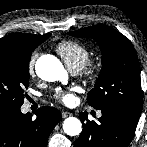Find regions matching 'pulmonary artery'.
Instances as JSON below:
<instances>
[{
	"label": "pulmonary artery",
	"mask_w": 147,
	"mask_h": 147,
	"mask_svg": "<svg viewBox=\"0 0 147 147\" xmlns=\"http://www.w3.org/2000/svg\"><path fill=\"white\" fill-rule=\"evenodd\" d=\"M79 70L78 69H72L71 72L73 73H77ZM99 116L101 115V113L98 114Z\"/></svg>",
	"instance_id": "e3ab8cb5"
}]
</instances>
